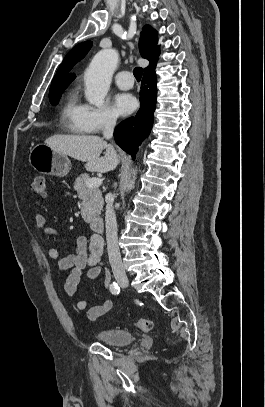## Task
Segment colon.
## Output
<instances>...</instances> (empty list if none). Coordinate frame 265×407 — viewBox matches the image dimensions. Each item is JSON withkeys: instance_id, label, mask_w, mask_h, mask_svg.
<instances>
[{"instance_id": "1", "label": "colon", "mask_w": 265, "mask_h": 407, "mask_svg": "<svg viewBox=\"0 0 265 407\" xmlns=\"http://www.w3.org/2000/svg\"><path fill=\"white\" fill-rule=\"evenodd\" d=\"M31 189L34 194L44 196L47 192L45 178L43 176H36L33 179ZM134 323L145 332L150 331L153 327L152 321L146 318H138L134 321Z\"/></svg>"}]
</instances>
